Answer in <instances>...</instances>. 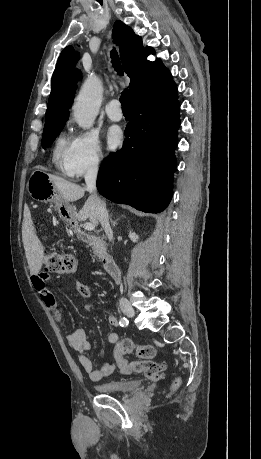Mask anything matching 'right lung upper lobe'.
<instances>
[{
  "instance_id": "obj_1",
  "label": "right lung upper lobe",
  "mask_w": 261,
  "mask_h": 459,
  "mask_svg": "<svg viewBox=\"0 0 261 459\" xmlns=\"http://www.w3.org/2000/svg\"><path fill=\"white\" fill-rule=\"evenodd\" d=\"M114 42L120 45V57L124 71L130 77L129 84L131 103L149 94L159 91L170 84L172 76L159 59L155 62L147 60L153 53L151 47L142 46L141 37L125 24L118 21L113 29ZM78 53L73 47H66L57 62L52 77L51 93L45 115V126L66 123L69 116V103L74 97L80 72L71 68L78 60Z\"/></svg>"
}]
</instances>
